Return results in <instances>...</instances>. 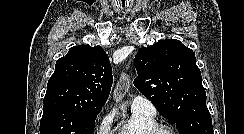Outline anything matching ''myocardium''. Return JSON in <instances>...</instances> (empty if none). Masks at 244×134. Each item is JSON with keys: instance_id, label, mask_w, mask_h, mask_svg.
<instances>
[{"instance_id": "obj_1", "label": "myocardium", "mask_w": 244, "mask_h": 134, "mask_svg": "<svg viewBox=\"0 0 244 134\" xmlns=\"http://www.w3.org/2000/svg\"><path fill=\"white\" fill-rule=\"evenodd\" d=\"M161 131H167L170 134H178L177 131L167 124L156 123L152 127H150L145 134H159Z\"/></svg>"}]
</instances>
